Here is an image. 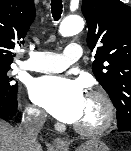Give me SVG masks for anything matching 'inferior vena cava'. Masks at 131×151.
<instances>
[{
	"instance_id": "obj_1",
	"label": "inferior vena cava",
	"mask_w": 131,
	"mask_h": 151,
	"mask_svg": "<svg viewBox=\"0 0 131 151\" xmlns=\"http://www.w3.org/2000/svg\"><path fill=\"white\" fill-rule=\"evenodd\" d=\"M44 122L45 115L32 108L27 109L26 113L23 115L19 128L17 129L21 141L25 145L33 147L36 144L37 136Z\"/></svg>"
}]
</instances>
